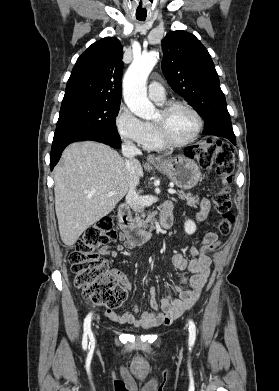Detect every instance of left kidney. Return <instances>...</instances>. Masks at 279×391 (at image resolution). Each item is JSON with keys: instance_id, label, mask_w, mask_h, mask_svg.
Instances as JSON below:
<instances>
[{"instance_id": "left-kidney-1", "label": "left kidney", "mask_w": 279, "mask_h": 391, "mask_svg": "<svg viewBox=\"0 0 279 391\" xmlns=\"http://www.w3.org/2000/svg\"><path fill=\"white\" fill-rule=\"evenodd\" d=\"M184 229L188 235H191L196 231V225L192 220L188 219L184 223Z\"/></svg>"}]
</instances>
